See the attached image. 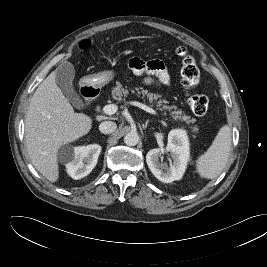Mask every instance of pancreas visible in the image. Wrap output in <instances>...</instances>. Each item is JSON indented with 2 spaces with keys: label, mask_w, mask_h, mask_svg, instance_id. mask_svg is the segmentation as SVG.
Wrapping results in <instances>:
<instances>
[{
  "label": "pancreas",
  "mask_w": 267,
  "mask_h": 267,
  "mask_svg": "<svg viewBox=\"0 0 267 267\" xmlns=\"http://www.w3.org/2000/svg\"><path fill=\"white\" fill-rule=\"evenodd\" d=\"M131 92H132V94L136 93V95L138 97H140V95H142L143 98L147 97L150 103H153L155 101L157 109H159L161 111L162 110H169V111L174 110V111H171L172 118L174 120L184 121V122H186V124H193L195 122L194 119H191L190 116L185 115L181 110H176L177 109L176 106L164 105V104H167L168 101L165 99L158 100L159 98H161V95H159V94L149 93L147 90L143 89L142 87L141 88H135V90H131ZM128 94H129V90L124 88L121 83H117V86L112 89V97H113V99H115L118 102L122 101V99L127 97ZM191 130H192V132L197 133L199 129L197 126H193V127H191Z\"/></svg>",
  "instance_id": "cf45deb5"
}]
</instances>
